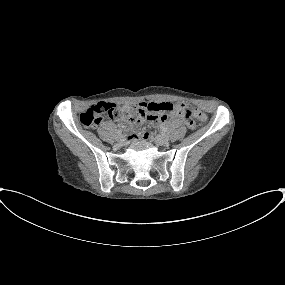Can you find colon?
Wrapping results in <instances>:
<instances>
[{
	"instance_id": "colon-1",
	"label": "colon",
	"mask_w": 285,
	"mask_h": 285,
	"mask_svg": "<svg viewBox=\"0 0 285 285\" xmlns=\"http://www.w3.org/2000/svg\"><path fill=\"white\" fill-rule=\"evenodd\" d=\"M151 112L148 106L144 104L136 106H116L113 103L99 102L82 112L79 119L84 126L95 128L107 117L115 120L123 119L133 121L142 114L148 115ZM169 112L171 115L180 116L186 120L195 119L199 122L206 120V115L202 111L184 102L172 104L169 108Z\"/></svg>"
}]
</instances>
